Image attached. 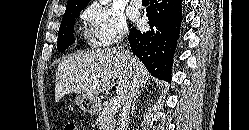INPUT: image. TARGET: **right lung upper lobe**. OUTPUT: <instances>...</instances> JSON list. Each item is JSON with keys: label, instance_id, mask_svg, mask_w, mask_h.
<instances>
[{"label": "right lung upper lobe", "instance_id": "obj_1", "mask_svg": "<svg viewBox=\"0 0 249 130\" xmlns=\"http://www.w3.org/2000/svg\"><path fill=\"white\" fill-rule=\"evenodd\" d=\"M90 0H68L67 6H82L85 7Z\"/></svg>", "mask_w": 249, "mask_h": 130}]
</instances>
